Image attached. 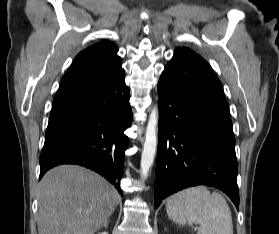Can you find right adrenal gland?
<instances>
[{
    "label": "right adrenal gland",
    "instance_id": "obj_1",
    "mask_svg": "<svg viewBox=\"0 0 279 234\" xmlns=\"http://www.w3.org/2000/svg\"><path fill=\"white\" fill-rule=\"evenodd\" d=\"M107 224H108V222H106V223L104 224V227H107Z\"/></svg>",
    "mask_w": 279,
    "mask_h": 234
}]
</instances>
